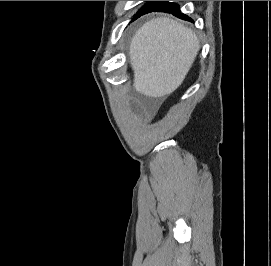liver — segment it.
<instances>
[{
  "instance_id": "6515ba94",
  "label": "liver",
  "mask_w": 271,
  "mask_h": 266,
  "mask_svg": "<svg viewBox=\"0 0 271 266\" xmlns=\"http://www.w3.org/2000/svg\"><path fill=\"white\" fill-rule=\"evenodd\" d=\"M199 50L190 28L169 17L151 19L130 43L133 88L152 98L170 95L182 84Z\"/></svg>"
}]
</instances>
